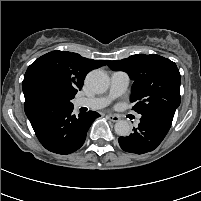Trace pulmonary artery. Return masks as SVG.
<instances>
[{
    "mask_svg": "<svg viewBox=\"0 0 201 201\" xmlns=\"http://www.w3.org/2000/svg\"><path fill=\"white\" fill-rule=\"evenodd\" d=\"M129 76L123 71H115L110 77V87L107 94L93 98H79L76 101L78 107H87L93 110L108 106L115 98L124 94L129 86Z\"/></svg>",
    "mask_w": 201,
    "mask_h": 201,
    "instance_id": "obj_1",
    "label": "pulmonary artery"
}]
</instances>
